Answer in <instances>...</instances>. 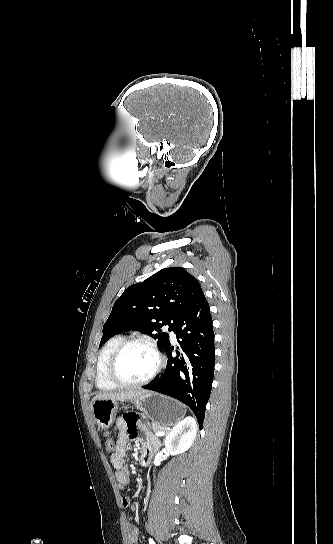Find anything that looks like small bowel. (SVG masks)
Instances as JSON below:
<instances>
[{
    "label": "small bowel",
    "instance_id": "c3829d8e",
    "mask_svg": "<svg viewBox=\"0 0 333 544\" xmlns=\"http://www.w3.org/2000/svg\"><path fill=\"white\" fill-rule=\"evenodd\" d=\"M117 426L119 429L118 439L114 452L110 455V462L115 470V478L120 488L129 486V471L125 466V455L128 448V444L131 440L138 442L143 453L147 454L150 459L151 451L155 446V443L150 438L142 439L139 436V420L135 417H122L117 420ZM122 505L125 508L130 507L131 500L128 497H123ZM127 532L131 544H137L138 542V530L134 525L129 524L127 526Z\"/></svg>",
    "mask_w": 333,
    "mask_h": 544
}]
</instances>
